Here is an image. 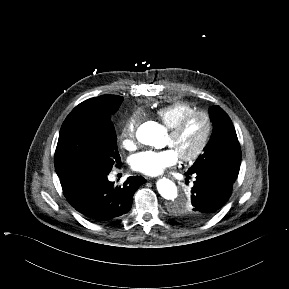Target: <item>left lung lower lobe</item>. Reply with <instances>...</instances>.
Here are the masks:
<instances>
[{"label": "left lung lower lobe", "instance_id": "obj_1", "mask_svg": "<svg viewBox=\"0 0 289 289\" xmlns=\"http://www.w3.org/2000/svg\"><path fill=\"white\" fill-rule=\"evenodd\" d=\"M192 174L196 180L188 201L191 211V219L188 221L201 222L212 217L227 202L238 174L220 169L185 173ZM179 205L183 206L185 203L181 201Z\"/></svg>", "mask_w": 289, "mask_h": 289}]
</instances>
